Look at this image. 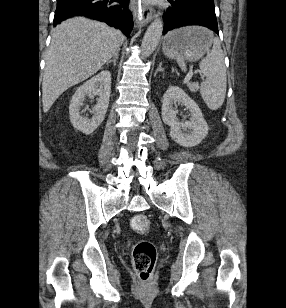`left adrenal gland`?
I'll use <instances>...</instances> for the list:
<instances>
[{
  "instance_id": "1",
  "label": "left adrenal gland",
  "mask_w": 286,
  "mask_h": 308,
  "mask_svg": "<svg viewBox=\"0 0 286 308\" xmlns=\"http://www.w3.org/2000/svg\"><path fill=\"white\" fill-rule=\"evenodd\" d=\"M163 67H162V63H160L159 64V67L157 68V70H156V72H155V74H154V76H156V74L158 73V72H163Z\"/></svg>"
}]
</instances>
